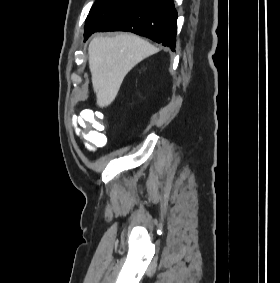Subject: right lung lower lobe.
Instances as JSON below:
<instances>
[{
    "label": "right lung lower lobe",
    "mask_w": 280,
    "mask_h": 283,
    "mask_svg": "<svg viewBox=\"0 0 280 283\" xmlns=\"http://www.w3.org/2000/svg\"><path fill=\"white\" fill-rule=\"evenodd\" d=\"M176 30L177 11L173 0H138L109 17L94 32L129 31L174 51Z\"/></svg>",
    "instance_id": "obj_1"
}]
</instances>
